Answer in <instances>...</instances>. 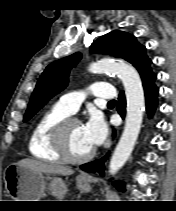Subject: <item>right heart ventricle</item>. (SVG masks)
<instances>
[{
  "label": "right heart ventricle",
  "mask_w": 176,
  "mask_h": 211,
  "mask_svg": "<svg viewBox=\"0 0 176 211\" xmlns=\"http://www.w3.org/2000/svg\"><path fill=\"white\" fill-rule=\"evenodd\" d=\"M69 115L55 104L38 118L28 140V150L34 158L54 163L63 162L52 146L51 132L55 124Z\"/></svg>",
  "instance_id": "e07e8e85"
}]
</instances>
